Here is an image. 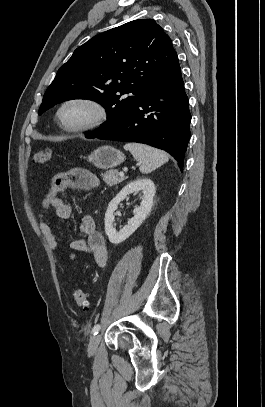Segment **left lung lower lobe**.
<instances>
[{"label": "left lung lower lobe", "mask_w": 265, "mask_h": 407, "mask_svg": "<svg viewBox=\"0 0 265 407\" xmlns=\"http://www.w3.org/2000/svg\"><path fill=\"white\" fill-rule=\"evenodd\" d=\"M189 101L181 68L153 85L130 115L105 134L91 138L148 144L171 154L183 170L190 139Z\"/></svg>", "instance_id": "left-lung-lower-lobe-1"}]
</instances>
